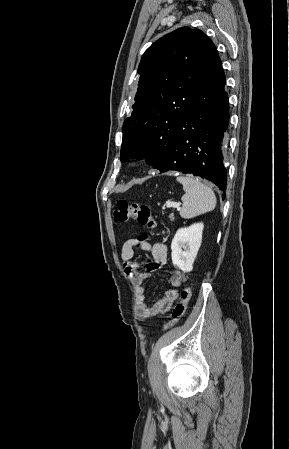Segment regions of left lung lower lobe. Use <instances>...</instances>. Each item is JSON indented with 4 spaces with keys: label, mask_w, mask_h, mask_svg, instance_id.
<instances>
[{
    "label": "left lung lower lobe",
    "mask_w": 289,
    "mask_h": 449,
    "mask_svg": "<svg viewBox=\"0 0 289 449\" xmlns=\"http://www.w3.org/2000/svg\"><path fill=\"white\" fill-rule=\"evenodd\" d=\"M225 83V74L217 55L202 79L190 110L175 126L166 158L155 169L199 176L225 191L227 170L224 151L229 124Z\"/></svg>",
    "instance_id": "1"
}]
</instances>
